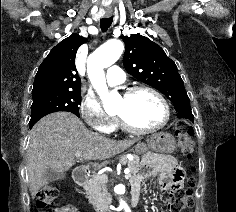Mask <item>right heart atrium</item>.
Returning <instances> with one entry per match:
<instances>
[{"label": "right heart atrium", "instance_id": "right-heart-atrium-1", "mask_svg": "<svg viewBox=\"0 0 236 212\" xmlns=\"http://www.w3.org/2000/svg\"><path fill=\"white\" fill-rule=\"evenodd\" d=\"M79 110L85 123L92 129L103 133L112 131L115 118L103 110L96 97L89 94L83 96Z\"/></svg>", "mask_w": 236, "mask_h": 212}]
</instances>
